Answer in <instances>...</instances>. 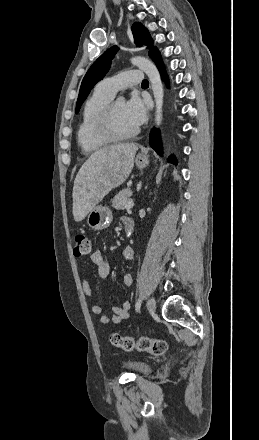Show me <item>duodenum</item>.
Listing matches in <instances>:
<instances>
[{"instance_id": "duodenum-1", "label": "duodenum", "mask_w": 259, "mask_h": 440, "mask_svg": "<svg viewBox=\"0 0 259 440\" xmlns=\"http://www.w3.org/2000/svg\"><path fill=\"white\" fill-rule=\"evenodd\" d=\"M124 230L127 236H131L134 231V221L130 218H127L124 221Z\"/></svg>"}]
</instances>
